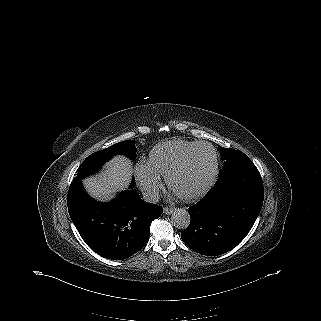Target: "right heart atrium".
<instances>
[{
	"instance_id": "1",
	"label": "right heart atrium",
	"mask_w": 321,
	"mask_h": 321,
	"mask_svg": "<svg viewBox=\"0 0 321 321\" xmlns=\"http://www.w3.org/2000/svg\"><path fill=\"white\" fill-rule=\"evenodd\" d=\"M135 176L142 191L153 198L160 189V177L150 169L147 161H139L135 166Z\"/></svg>"
}]
</instances>
